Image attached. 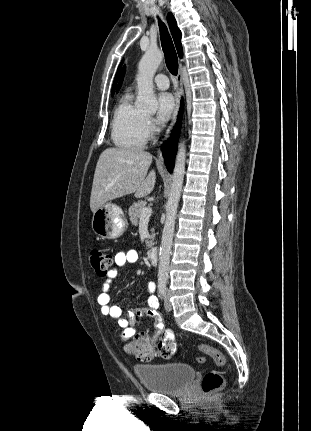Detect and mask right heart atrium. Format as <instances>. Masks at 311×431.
Returning <instances> with one entry per match:
<instances>
[{"label": "right heart atrium", "mask_w": 311, "mask_h": 431, "mask_svg": "<svg viewBox=\"0 0 311 431\" xmlns=\"http://www.w3.org/2000/svg\"><path fill=\"white\" fill-rule=\"evenodd\" d=\"M147 126H148V131L149 134L154 135L158 132V124L155 121V119L151 116L147 117Z\"/></svg>", "instance_id": "obj_1"}]
</instances>
